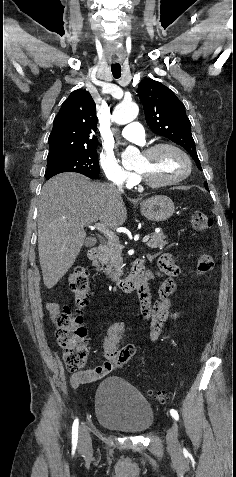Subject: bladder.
<instances>
[{"mask_svg": "<svg viewBox=\"0 0 236 477\" xmlns=\"http://www.w3.org/2000/svg\"><path fill=\"white\" fill-rule=\"evenodd\" d=\"M95 417L99 424L126 434L147 431L155 419L150 403L121 377H108L99 384Z\"/></svg>", "mask_w": 236, "mask_h": 477, "instance_id": "31cf9c89", "label": "bladder"}]
</instances>
